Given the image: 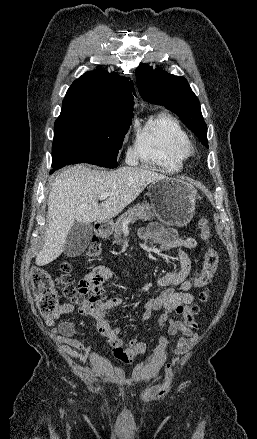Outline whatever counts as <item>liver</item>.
Instances as JSON below:
<instances>
[{"instance_id": "liver-1", "label": "liver", "mask_w": 257, "mask_h": 439, "mask_svg": "<svg viewBox=\"0 0 257 439\" xmlns=\"http://www.w3.org/2000/svg\"><path fill=\"white\" fill-rule=\"evenodd\" d=\"M166 176L139 167L98 170L77 164L54 179L48 198V231L36 264L43 266L65 249L68 232L75 222L89 224L117 216L147 185ZM102 192L109 196L98 204Z\"/></svg>"}]
</instances>
